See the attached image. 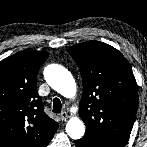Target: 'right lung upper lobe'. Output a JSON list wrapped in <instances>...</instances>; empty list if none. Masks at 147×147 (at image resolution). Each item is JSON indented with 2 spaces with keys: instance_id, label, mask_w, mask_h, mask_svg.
<instances>
[{
  "instance_id": "1",
  "label": "right lung upper lobe",
  "mask_w": 147,
  "mask_h": 147,
  "mask_svg": "<svg viewBox=\"0 0 147 147\" xmlns=\"http://www.w3.org/2000/svg\"><path fill=\"white\" fill-rule=\"evenodd\" d=\"M45 51L16 53L0 62V147H45L58 123L44 112L36 88Z\"/></svg>"
}]
</instances>
